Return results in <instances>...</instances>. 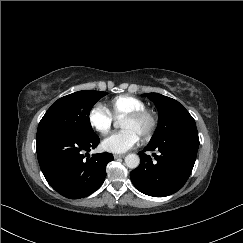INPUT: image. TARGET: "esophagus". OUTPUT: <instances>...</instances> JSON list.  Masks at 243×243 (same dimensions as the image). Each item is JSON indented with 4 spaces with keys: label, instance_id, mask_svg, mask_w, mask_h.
I'll return each instance as SVG.
<instances>
[{
    "label": "esophagus",
    "instance_id": "esophagus-1",
    "mask_svg": "<svg viewBox=\"0 0 243 243\" xmlns=\"http://www.w3.org/2000/svg\"><path fill=\"white\" fill-rule=\"evenodd\" d=\"M125 157V154H114L115 159L123 158Z\"/></svg>",
    "mask_w": 243,
    "mask_h": 243
}]
</instances>
